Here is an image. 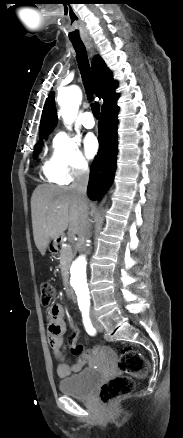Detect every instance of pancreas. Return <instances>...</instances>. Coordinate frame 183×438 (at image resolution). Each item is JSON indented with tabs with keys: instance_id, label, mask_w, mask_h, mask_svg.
Returning a JSON list of instances; mask_svg holds the SVG:
<instances>
[{
	"instance_id": "cf45deb5",
	"label": "pancreas",
	"mask_w": 183,
	"mask_h": 438,
	"mask_svg": "<svg viewBox=\"0 0 183 438\" xmlns=\"http://www.w3.org/2000/svg\"><path fill=\"white\" fill-rule=\"evenodd\" d=\"M74 249L68 245L60 250V268L65 273L74 257Z\"/></svg>"
}]
</instances>
